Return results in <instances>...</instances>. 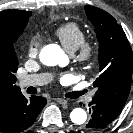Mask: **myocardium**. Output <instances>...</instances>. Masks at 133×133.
Wrapping results in <instances>:
<instances>
[{"instance_id":"myocardium-1","label":"myocardium","mask_w":133,"mask_h":133,"mask_svg":"<svg viewBox=\"0 0 133 133\" xmlns=\"http://www.w3.org/2000/svg\"><path fill=\"white\" fill-rule=\"evenodd\" d=\"M96 57L95 46L87 41H84L74 52L73 59L74 61L81 65L86 66L91 64Z\"/></svg>"}]
</instances>
